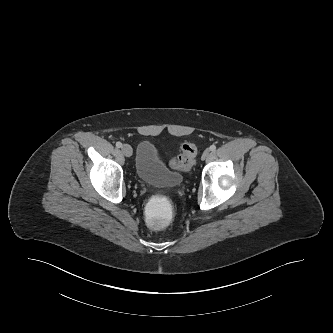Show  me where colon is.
<instances>
[{
	"label": "colon",
	"instance_id": "obj_1",
	"mask_svg": "<svg viewBox=\"0 0 333 333\" xmlns=\"http://www.w3.org/2000/svg\"><path fill=\"white\" fill-rule=\"evenodd\" d=\"M197 147L194 143L182 145L181 153L170 162L172 168L188 171L195 162ZM172 208L164 196H155L144 207L145 224L154 231L163 230L172 220Z\"/></svg>",
	"mask_w": 333,
	"mask_h": 333
}]
</instances>
